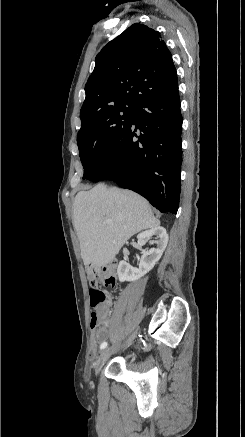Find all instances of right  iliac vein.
Instances as JSON below:
<instances>
[{
	"label": "right iliac vein",
	"mask_w": 245,
	"mask_h": 437,
	"mask_svg": "<svg viewBox=\"0 0 245 437\" xmlns=\"http://www.w3.org/2000/svg\"><path fill=\"white\" fill-rule=\"evenodd\" d=\"M136 336V332H134L123 344L119 345V346H113L110 348H106L100 355L97 363H96V367H95V373L98 374L101 367L103 366V364L105 363V361L107 360V358L118 348H124L126 346H128L129 344H131V342L134 340Z\"/></svg>",
	"instance_id": "right-iliac-vein-1"
}]
</instances>
